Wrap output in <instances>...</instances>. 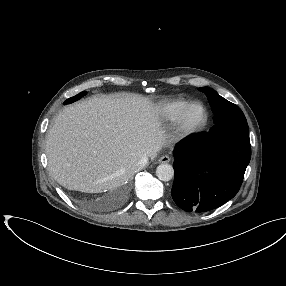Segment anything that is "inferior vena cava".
<instances>
[{"label":"inferior vena cava","mask_w":286,"mask_h":286,"mask_svg":"<svg viewBox=\"0 0 286 286\" xmlns=\"http://www.w3.org/2000/svg\"><path fill=\"white\" fill-rule=\"evenodd\" d=\"M147 160H148L147 157L142 158V159L138 162V164H137V166H136V169H140V168L144 167V166L146 165V163H147Z\"/></svg>","instance_id":"obj_1"}]
</instances>
